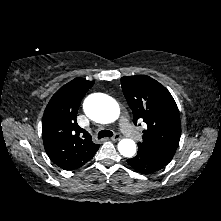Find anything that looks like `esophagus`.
<instances>
[{
	"instance_id": "esophagus-1",
	"label": "esophagus",
	"mask_w": 221,
	"mask_h": 221,
	"mask_svg": "<svg viewBox=\"0 0 221 221\" xmlns=\"http://www.w3.org/2000/svg\"><path fill=\"white\" fill-rule=\"evenodd\" d=\"M122 138V136L119 134V133H117V134H115L113 137H111V140L112 141H118V140H120Z\"/></svg>"
}]
</instances>
